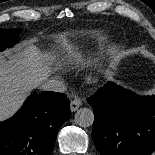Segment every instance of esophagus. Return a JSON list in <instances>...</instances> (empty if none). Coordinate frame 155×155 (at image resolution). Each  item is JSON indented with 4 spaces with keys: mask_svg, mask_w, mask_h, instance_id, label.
Returning a JSON list of instances; mask_svg holds the SVG:
<instances>
[{
    "mask_svg": "<svg viewBox=\"0 0 155 155\" xmlns=\"http://www.w3.org/2000/svg\"><path fill=\"white\" fill-rule=\"evenodd\" d=\"M81 106V100L79 98H75L71 101L70 110L71 112H75Z\"/></svg>",
    "mask_w": 155,
    "mask_h": 155,
    "instance_id": "esophagus-1",
    "label": "esophagus"
}]
</instances>
